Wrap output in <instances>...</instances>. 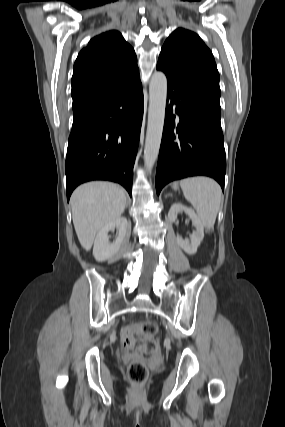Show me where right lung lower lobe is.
I'll use <instances>...</instances> for the list:
<instances>
[{
  "mask_svg": "<svg viewBox=\"0 0 285 427\" xmlns=\"http://www.w3.org/2000/svg\"><path fill=\"white\" fill-rule=\"evenodd\" d=\"M65 162L67 200L81 183L109 180L131 195L143 117L139 75L73 107Z\"/></svg>",
  "mask_w": 285,
  "mask_h": 427,
  "instance_id": "right-lung-lower-lobe-1",
  "label": "right lung lower lobe"
}]
</instances>
